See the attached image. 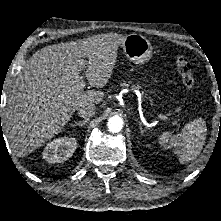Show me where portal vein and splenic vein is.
Instances as JSON below:
<instances>
[{
	"instance_id": "18ae733b",
	"label": "portal vein and splenic vein",
	"mask_w": 221,
	"mask_h": 221,
	"mask_svg": "<svg viewBox=\"0 0 221 221\" xmlns=\"http://www.w3.org/2000/svg\"><path fill=\"white\" fill-rule=\"evenodd\" d=\"M81 63L83 64V63H84V60H82ZM84 87H85V82H84L83 80H81V82H80L79 85H78V89H79V90H82ZM158 117H159L160 119H163V120H168V119H169V118L166 117L165 115H161V114H159Z\"/></svg>"
}]
</instances>
